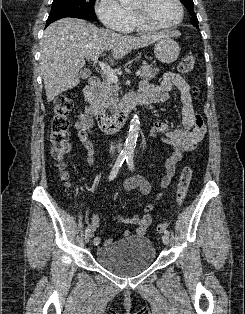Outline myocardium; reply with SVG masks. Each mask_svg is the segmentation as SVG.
Segmentation results:
<instances>
[{
	"label": "myocardium",
	"mask_w": 245,
	"mask_h": 314,
	"mask_svg": "<svg viewBox=\"0 0 245 314\" xmlns=\"http://www.w3.org/2000/svg\"><path fill=\"white\" fill-rule=\"evenodd\" d=\"M175 2L179 8L180 17L177 21H175L173 23L164 24V23L154 22L134 8H131V12H132V15H133L135 22L138 23L139 25L143 26V27H146L149 29L172 28V27L179 25L183 21L184 15H185L184 6H183L181 0H175Z\"/></svg>",
	"instance_id": "myocardium-1"
}]
</instances>
